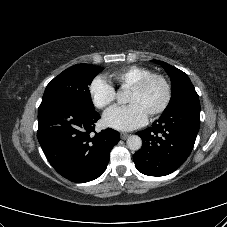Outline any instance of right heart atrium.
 Listing matches in <instances>:
<instances>
[{"mask_svg": "<svg viewBox=\"0 0 227 227\" xmlns=\"http://www.w3.org/2000/svg\"><path fill=\"white\" fill-rule=\"evenodd\" d=\"M89 95L93 104L99 109L108 107L116 98L114 87L103 76H97L91 81Z\"/></svg>", "mask_w": 227, "mask_h": 227, "instance_id": "d8ad5b80", "label": "right heart atrium"}]
</instances>
